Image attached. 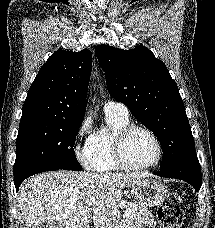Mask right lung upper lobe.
I'll return each mask as SVG.
<instances>
[{"label":"right lung upper lobe","mask_w":215,"mask_h":228,"mask_svg":"<svg viewBox=\"0 0 215 228\" xmlns=\"http://www.w3.org/2000/svg\"><path fill=\"white\" fill-rule=\"evenodd\" d=\"M91 69L90 50L51 55L28 91L19 128L83 121Z\"/></svg>","instance_id":"cb5924a9"}]
</instances>
